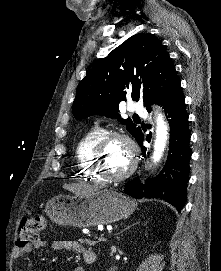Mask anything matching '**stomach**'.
I'll list each match as a JSON object with an SVG mask.
<instances>
[{"label": "stomach", "instance_id": "obj_1", "mask_svg": "<svg viewBox=\"0 0 221 271\" xmlns=\"http://www.w3.org/2000/svg\"><path fill=\"white\" fill-rule=\"evenodd\" d=\"M135 199L113 189H98L75 197H49L46 211L59 225L91 227L128 217L136 209Z\"/></svg>", "mask_w": 221, "mask_h": 271}]
</instances>
